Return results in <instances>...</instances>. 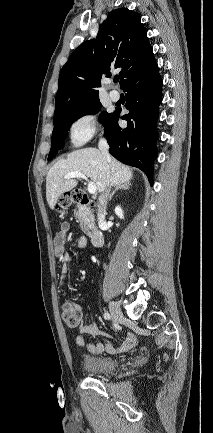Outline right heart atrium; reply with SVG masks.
Wrapping results in <instances>:
<instances>
[{"label":"right heart atrium","instance_id":"d8ad5b80","mask_svg":"<svg viewBox=\"0 0 213 433\" xmlns=\"http://www.w3.org/2000/svg\"><path fill=\"white\" fill-rule=\"evenodd\" d=\"M98 130L95 116L85 114L72 123L70 137L75 144H81L89 140Z\"/></svg>","mask_w":213,"mask_h":433}]
</instances>
